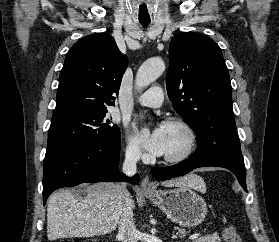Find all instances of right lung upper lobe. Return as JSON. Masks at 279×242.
Returning <instances> with one entry per match:
<instances>
[{
	"label": "right lung upper lobe",
	"instance_id": "cb5924a9",
	"mask_svg": "<svg viewBox=\"0 0 279 242\" xmlns=\"http://www.w3.org/2000/svg\"><path fill=\"white\" fill-rule=\"evenodd\" d=\"M127 57L107 33L88 35L68 51L59 77L55 113L107 110L115 105Z\"/></svg>",
	"mask_w": 279,
	"mask_h": 242
}]
</instances>
